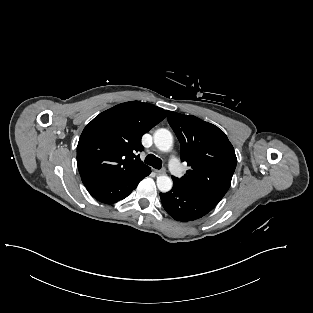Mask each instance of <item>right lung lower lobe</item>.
Instances as JSON below:
<instances>
[{
	"label": "right lung lower lobe",
	"instance_id": "obj_1",
	"mask_svg": "<svg viewBox=\"0 0 313 313\" xmlns=\"http://www.w3.org/2000/svg\"><path fill=\"white\" fill-rule=\"evenodd\" d=\"M148 167L144 171L124 179L86 187L88 192L98 201L103 203H116L123 200L137 187L139 182L150 174Z\"/></svg>",
	"mask_w": 313,
	"mask_h": 313
}]
</instances>
